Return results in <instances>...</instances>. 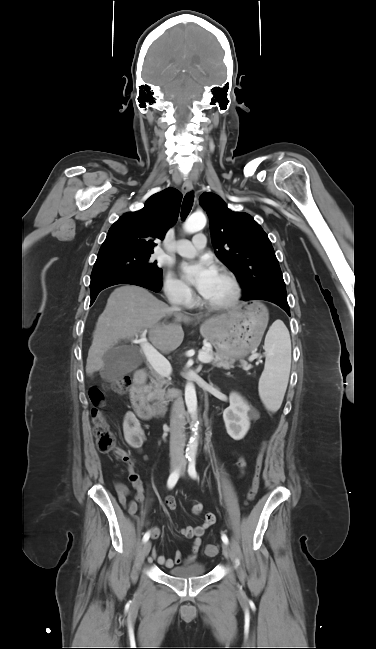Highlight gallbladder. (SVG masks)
Returning a JSON list of instances; mask_svg holds the SVG:
<instances>
[{
    "mask_svg": "<svg viewBox=\"0 0 376 649\" xmlns=\"http://www.w3.org/2000/svg\"><path fill=\"white\" fill-rule=\"evenodd\" d=\"M138 360L139 355L135 349L127 345H115L103 356L104 366L100 370L101 378L107 381L115 380L136 369Z\"/></svg>",
    "mask_w": 376,
    "mask_h": 649,
    "instance_id": "bac80fb5",
    "label": "gallbladder"
}]
</instances>
